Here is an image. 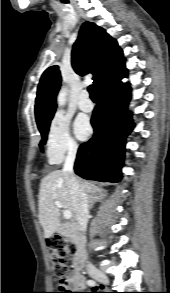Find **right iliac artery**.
Segmentation results:
<instances>
[{
    "label": "right iliac artery",
    "instance_id": "obj_1",
    "mask_svg": "<svg viewBox=\"0 0 170 293\" xmlns=\"http://www.w3.org/2000/svg\"><path fill=\"white\" fill-rule=\"evenodd\" d=\"M87 284H88L89 286H96V281L90 279V280L87 281Z\"/></svg>",
    "mask_w": 170,
    "mask_h": 293
}]
</instances>
